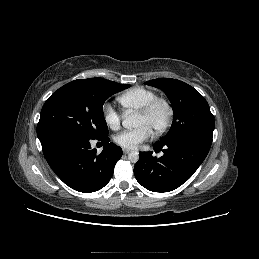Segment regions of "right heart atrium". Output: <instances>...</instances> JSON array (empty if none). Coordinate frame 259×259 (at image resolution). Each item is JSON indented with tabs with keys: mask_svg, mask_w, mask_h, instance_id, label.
Masks as SVG:
<instances>
[{
	"mask_svg": "<svg viewBox=\"0 0 259 259\" xmlns=\"http://www.w3.org/2000/svg\"><path fill=\"white\" fill-rule=\"evenodd\" d=\"M102 117L105 124L110 129H119L121 124V115L115 110V108L111 104L105 103L102 106Z\"/></svg>",
	"mask_w": 259,
	"mask_h": 259,
	"instance_id": "1",
	"label": "right heart atrium"
}]
</instances>
